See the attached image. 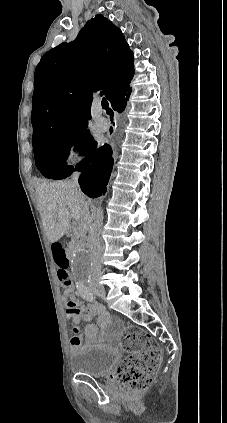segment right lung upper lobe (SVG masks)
I'll use <instances>...</instances> for the list:
<instances>
[{
  "mask_svg": "<svg viewBox=\"0 0 227 423\" xmlns=\"http://www.w3.org/2000/svg\"><path fill=\"white\" fill-rule=\"evenodd\" d=\"M133 54L119 28L102 15L77 38L46 52L35 70L33 141L88 133L92 93L102 90L112 107L129 97Z\"/></svg>",
  "mask_w": 227,
  "mask_h": 423,
  "instance_id": "obj_1",
  "label": "right lung upper lobe"
}]
</instances>
